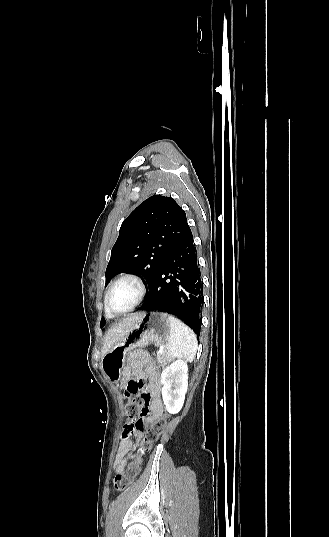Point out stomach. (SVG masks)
Listing matches in <instances>:
<instances>
[{"label": "stomach", "instance_id": "obj_1", "mask_svg": "<svg viewBox=\"0 0 329 537\" xmlns=\"http://www.w3.org/2000/svg\"><path fill=\"white\" fill-rule=\"evenodd\" d=\"M171 332L170 315L161 312H144L134 326L103 357L101 365L111 381L120 378V369L128 351L155 343L162 345Z\"/></svg>", "mask_w": 329, "mask_h": 537}]
</instances>
